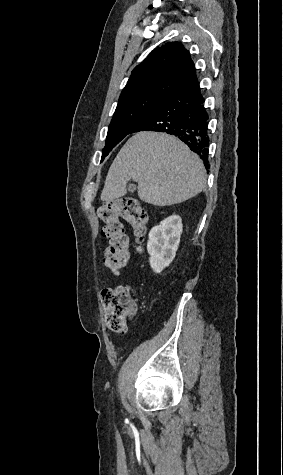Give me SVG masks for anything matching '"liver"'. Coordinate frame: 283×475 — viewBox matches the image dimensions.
Returning <instances> with one entry per match:
<instances>
[{
    "mask_svg": "<svg viewBox=\"0 0 283 475\" xmlns=\"http://www.w3.org/2000/svg\"><path fill=\"white\" fill-rule=\"evenodd\" d=\"M138 182L142 202L170 206L202 192L205 168L199 156L175 136L138 132L121 148L106 176L102 202H116L127 194L129 180Z\"/></svg>",
    "mask_w": 283,
    "mask_h": 475,
    "instance_id": "6515ba94",
    "label": "liver"
}]
</instances>
